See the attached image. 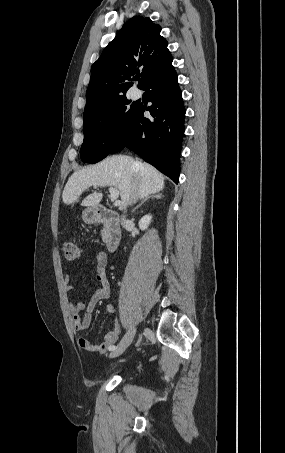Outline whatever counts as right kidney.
Listing matches in <instances>:
<instances>
[{
	"instance_id": "obj_1",
	"label": "right kidney",
	"mask_w": 285,
	"mask_h": 453,
	"mask_svg": "<svg viewBox=\"0 0 285 453\" xmlns=\"http://www.w3.org/2000/svg\"><path fill=\"white\" fill-rule=\"evenodd\" d=\"M152 216L150 214L143 216L139 221V228L146 230L151 222Z\"/></svg>"
}]
</instances>
